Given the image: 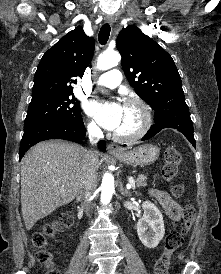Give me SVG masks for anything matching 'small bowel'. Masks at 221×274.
<instances>
[{"mask_svg": "<svg viewBox=\"0 0 221 274\" xmlns=\"http://www.w3.org/2000/svg\"><path fill=\"white\" fill-rule=\"evenodd\" d=\"M150 195L160 203L172 223H176L181 219L183 208L168 193L158 189H151Z\"/></svg>", "mask_w": 221, "mask_h": 274, "instance_id": "obj_1", "label": "small bowel"}]
</instances>
